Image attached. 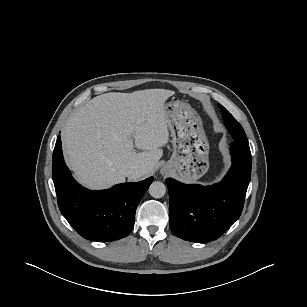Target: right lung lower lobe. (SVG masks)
I'll use <instances>...</instances> for the list:
<instances>
[{
	"mask_svg": "<svg viewBox=\"0 0 307 307\" xmlns=\"http://www.w3.org/2000/svg\"><path fill=\"white\" fill-rule=\"evenodd\" d=\"M52 175L63 216L82 237L101 242L121 239L132 231L136 208L153 181L150 177L102 191L88 190L74 180L67 168L60 136L53 152Z\"/></svg>",
	"mask_w": 307,
	"mask_h": 307,
	"instance_id": "1",
	"label": "right lung lower lobe"
}]
</instances>
